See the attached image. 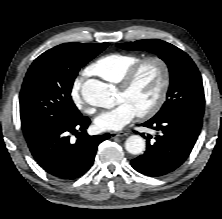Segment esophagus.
<instances>
[{
    "label": "esophagus",
    "instance_id": "1",
    "mask_svg": "<svg viewBox=\"0 0 222 219\" xmlns=\"http://www.w3.org/2000/svg\"><path fill=\"white\" fill-rule=\"evenodd\" d=\"M128 133L124 132V131H120V132H110V136L112 138H116V137H122V136H126Z\"/></svg>",
    "mask_w": 222,
    "mask_h": 219
}]
</instances>
